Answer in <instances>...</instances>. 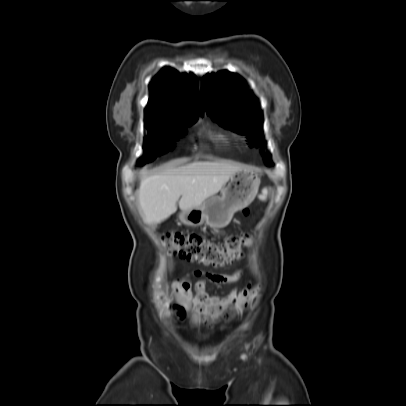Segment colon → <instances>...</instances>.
I'll use <instances>...</instances> for the list:
<instances>
[{
    "mask_svg": "<svg viewBox=\"0 0 406 406\" xmlns=\"http://www.w3.org/2000/svg\"><path fill=\"white\" fill-rule=\"evenodd\" d=\"M249 212L244 209L245 214ZM164 240L175 257L213 267H222L242 259L245 248L251 243L249 234L229 237L221 244L207 241L194 233L183 232H168Z\"/></svg>",
    "mask_w": 406,
    "mask_h": 406,
    "instance_id": "1",
    "label": "colon"
}]
</instances>
